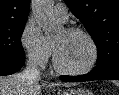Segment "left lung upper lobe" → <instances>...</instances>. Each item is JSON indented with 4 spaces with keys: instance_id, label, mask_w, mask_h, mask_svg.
Listing matches in <instances>:
<instances>
[{
    "instance_id": "5c2ea615",
    "label": "left lung upper lobe",
    "mask_w": 119,
    "mask_h": 95,
    "mask_svg": "<svg viewBox=\"0 0 119 95\" xmlns=\"http://www.w3.org/2000/svg\"><path fill=\"white\" fill-rule=\"evenodd\" d=\"M84 24L98 49L95 71L119 66V0H64Z\"/></svg>"
}]
</instances>
